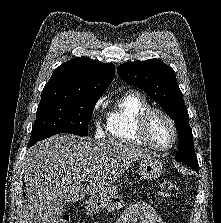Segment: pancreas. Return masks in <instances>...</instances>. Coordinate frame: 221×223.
Wrapping results in <instances>:
<instances>
[{
    "mask_svg": "<svg viewBox=\"0 0 221 223\" xmlns=\"http://www.w3.org/2000/svg\"><path fill=\"white\" fill-rule=\"evenodd\" d=\"M124 205H125V203H124L122 200H120V202H117V203H112V202H110V203L107 205V208H106V209H107L109 212H111V211L119 210V209L122 208Z\"/></svg>",
    "mask_w": 221,
    "mask_h": 223,
    "instance_id": "obj_1",
    "label": "pancreas"
}]
</instances>
